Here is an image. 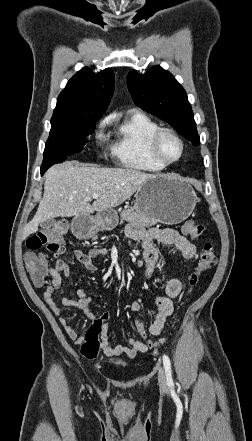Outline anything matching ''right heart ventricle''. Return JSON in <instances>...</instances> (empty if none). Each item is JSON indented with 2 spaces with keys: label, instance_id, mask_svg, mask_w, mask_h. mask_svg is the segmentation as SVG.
Returning <instances> with one entry per match:
<instances>
[{
  "label": "right heart ventricle",
  "instance_id": "1",
  "mask_svg": "<svg viewBox=\"0 0 252 441\" xmlns=\"http://www.w3.org/2000/svg\"><path fill=\"white\" fill-rule=\"evenodd\" d=\"M158 128L153 119L141 112L125 116L114 130L112 156L129 169L149 173L162 171L165 167L156 162L149 152V139Z\"/></svg>",
  "mask_w": 252,
  "mask_h": 441
}]
</instances>
